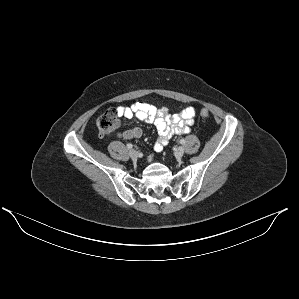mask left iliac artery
Wrapping results in <instances>:
<instances>
[{
  "label": "left iliac artery",
  "instance_id": "left-iliac-artery-1",
  "mask_svg": "<svg viewBox=\"0 0 299 299\" xmlns=\"http://www.w3.org/2000/svg\"><path fill=\"white\" fill-rule=\"evenodd\" d=\"M180 143H181V144H184V143H185V140H184V139H181V140H180Z\"/></svg>",
  "mask_w": 299,
  "mask_h": 299
}]
</instances>
